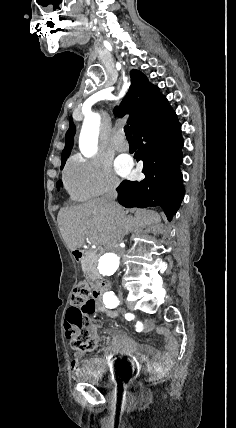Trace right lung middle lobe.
Masks as SVG:
<instances>
[{
    "instance_id": "1",
    "label": "right lung middle lobe",
    "mask_w": 236,
    "mask_h": 428,
    "mask_svg": "<svg viewBox=\"0 0 236 428\" xmlns=\"http://www.w3.org/2000/svg\"><path fill=\"white\" fill-rule=\"evenodd\" d=\"M61 169H62V168H61ZM61 184H62V182H61V181H58V182H57V188H58V190H59V188H60Z\"/></svg>"
}]
</instances>
